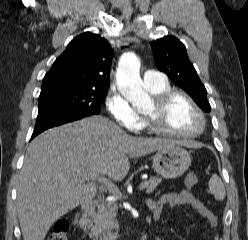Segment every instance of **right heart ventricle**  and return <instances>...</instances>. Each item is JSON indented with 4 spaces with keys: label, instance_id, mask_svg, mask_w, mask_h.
<instances>
[{
    "label": "right heart ventricle",
    "instance_id": "obj_1",
    "mask_svg": "<svg viewBox=\"0 0 248 240\" xmlns=\"http://www.w3.org/2000/svg\"><path fill=\"white\" fill-rule=\"evenodd\" d=\"M146 88L148 89V91L153 94L156 95L162 91H165L167 89H170V85L168 82H165L163 84L160 85H154V86H146Z\"/></svg>",
    "mask_w": 248,
    "mask_h": 240
}]
</instances>
